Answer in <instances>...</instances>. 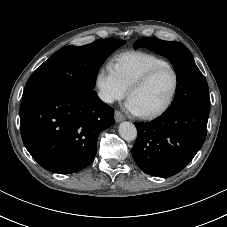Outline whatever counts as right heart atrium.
<instances>
[{"label": "right heart atrium", "mask_w": 227, "mask_h": 227, "mask_svg": "<svg viewBox=\"0 0 227 227\" xmlns=\"http://www.w3.org/2000/svg\"><path fill=\"white\" fill-rule=\"evenodd\" d=\"M98 97L106 104H113L127 94L126 87L121 83L111 65L98 69L95 75Z\"/></svg>", "instance_id": "d8ad5b80"}]
</instances>
